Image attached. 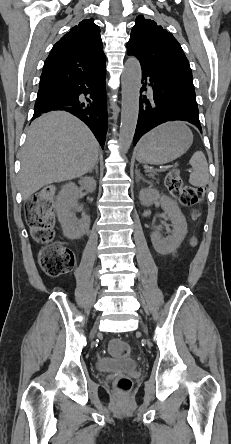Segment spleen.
Wrapping results in <instances>:
<instances>
[{
	"mask_svg": "<svg viewBox=\"0 0 231 444\" xmlns=\"http://www.w3.org/2000/svg\"><path fill=\"white\" fill-rule=\"evenodd\" d=\"M193 171L189 177V183L193 186H205L209 181L208 164L205 155L196 151L189 161Z\"/></svg>",
	"mask_w": 231,
	"mask_h": 444,
	"instance_id": "obj_1",
	"label": "spleen"
}]
</instances>
